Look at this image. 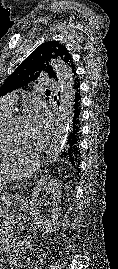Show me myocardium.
<instances>
[{
	"mask_svg": "<svg viewBox=\"0 0 118 269\" xmlns=\"http://www.w3.org/2000/svg\"><path fill=\"white\" fill-rule=\"evenodd\" d=\"M20 117H21L20 114H13L10 117V119L7 122V132H8V136L11 140L19 143L23 147V145H31V144L26 139L15 134V132L13 131V124Z\"/></svg>",
	"mask_w": 118,
	"mask_h": 269,
	"instance_id": "obj_1",
	"label": "myocardium"
}]
</instances>
